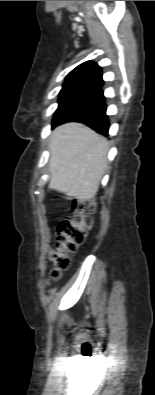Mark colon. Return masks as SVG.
Segmentation results:
<instances>
[{
	"label": "colon",
	"mask_w": 155,
	"mask_h": 395,
	"mask_svg": "<svg viewBox=\"0 0 155 395\" xmlns=\"http://www.w3.org/2000/svg\"><path fill=\"white\" fill-rule=\"evenodd\" d=\"M73 208L74 218L64 220L59 224L55 246L49 252L52 261L50 278L55 281L59 280L62 272L69 268L71 254L84 243L92 226L91 213L95 208L94 201L75 202Z\"/></svg>",
	"instance_id": "1"
}]
</instances>
